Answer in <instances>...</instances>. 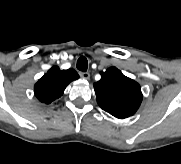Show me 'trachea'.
<instances>
[{
  "label": "trachea",
  "instance_id": "obj_1",
  "mask_svg": "<svg viewBox=\"0 0 181 164\" xmlns=\"http://www.w3.org/2000/svg\"><path fill=\"white\" fill-rule=\"evenodd\" d=\"M77 69L82 71V72H86L87 68H88V61L86 59V57L81 56L78 60H77V65H76Z\"/></svg>",
  "mask_w": 181,
  "mask_h": 164
}]
</instances>
